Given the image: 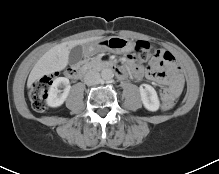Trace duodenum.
<instances>
[{
    "mask_svg": "<svg viewBox=\"0 0 219 174\" xmlns=\"http://www.w3.org/2000/svg\"><path fill=\"white\" fill-rule=\"evenodd\" d=\"M96 67L99 69H104V70H112L120 78H123L126 75L122 67L112 62H101L97 64ZM86 72H87V69L84 67L70 68L68 70V75L73 79H80L86 74Z\"/></svg>",
    "mask_w": 219,
    "mask_h": 174,
    "instance_id": "obj_1",
    "label": "duodenum"
}]
</instances>
